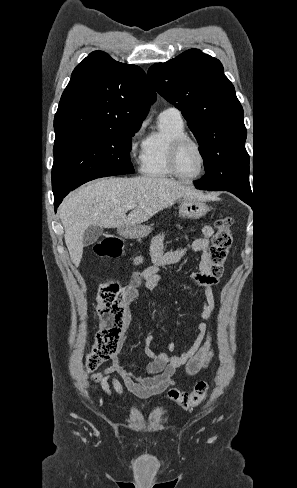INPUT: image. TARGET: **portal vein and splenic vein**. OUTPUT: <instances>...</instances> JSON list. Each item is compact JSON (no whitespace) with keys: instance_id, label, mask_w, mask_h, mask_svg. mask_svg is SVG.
Returning a JSON list of instances; mask_svg holds the SVG:
<instances>
[{"instance_id":"portal-vein-and-splenic-vein-1","label":"portal vein and splenic vein","mask_w":297,"mask_h":488,"mask_svg":"<svg viewBox=\"0 0 297 488\" xmlns=\"http://www.w3.org/2000/svg\"><path fill=\"white\" fill-rule=\"evenodd\" d=\"M135 207H136L135 203H129V204L124 205L125 210H130V209H133Z\"/></svg>"}]
</instances>
